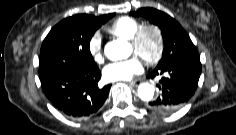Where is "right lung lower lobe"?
<instances>
[{"label": "right lung lower lobe", "mask_w": 236, "mask_h": 135, "mask_svg": "<svg viewBox=\"0 0 236 135\" xmlns=\"http://www.w3.org/2000/svg\"><path fill=\"white\" fill-rule=\"evenodd\" d=\"M46 97L61 113L72 118L95 114L104 104L111 85L98 86L101 72L71 60L63 65L39 68Z\"/></svg>", "instance_id": "1"}]
</instances>
